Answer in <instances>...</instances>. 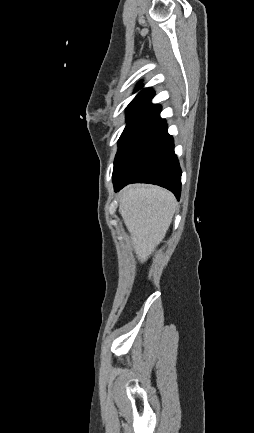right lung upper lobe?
Wrapping results in <instances>:
<instances>
[{"instance_id": "1", "label": "right lung upper lobe", "mask_w": 254, "mask_h": 433, "mask_svg": "<svg viewBox=\"0 0 254 433\" xmlns=\"http://www.w3.org/2000/svg\"><path fill=\"white\" fill-rule=\"evenodd\" d=\"M141 86L139 85L137 89H139ZM154 96V92L149 89H143L130 103V105H140L144 106L145 104L149 103L152 97Z\"/></svg>"}]
</instances>
